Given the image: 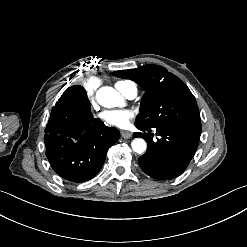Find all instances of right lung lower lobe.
<instances>
[{
    "label": "right lung lower lobe",
    "instance_id": "right-lung-lower-lobe-1",
    "mask_svg": "<svg viewBox=\"0 0 247 247\" xmlns=\"http://www.w3.org/2000/svg\"><path fill=\"white\" fill-rule=\"evenodd\" d=\"M46 156L53 170L72 182H84L101 170L108 149L120 132L107 127L91 110L62 95L45 129Z\"/></svg>",
    "mask_w": 247,
    "mask_h": 247
}]
</instances>
